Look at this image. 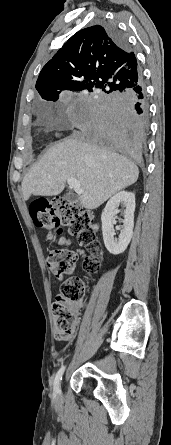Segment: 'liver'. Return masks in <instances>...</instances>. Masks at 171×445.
<instances>
[{
	"instance_id": "6515ba94",
	"label": "liver",
	"mask_w": 171,
	"mask_h": 445,
	"mask_svg": "<svg viewBox=\"0 0 171 445\" xmlns=\"http://www.w3.org/2000/svg\"><path fill=\"white\" fill-rule=\"evenodd\" d=\"M138 175L135 163L116 157L94 141L65 139L49 148L25 175L22 193L24 200L31 195L55 196L63 191L66 180L75 178L83 189L81 205L93 210L134 184Z\"/></svg>"
}]
</instances>
